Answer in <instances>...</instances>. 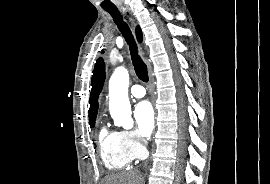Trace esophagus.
Returning a JSON list of instances; mask_svg holds the SVG:
<instances>
[{
	"label": "esophagus",
	"mask_w": 270,
	"mask_h": 184,
	"mask_svg": "<svg viewBox=\"0 0 270 184\" xmlns=\"http://www.w3.org/2000/svg\"><path fill=\"white\" fill-rule=\"evenodd\" d=\"M148 72H149V78H150V90L151 93L153 92V84H152V70H151V66L148 65Z\"/></svg>",
	"instance_id": "1"
}]
</instances>
